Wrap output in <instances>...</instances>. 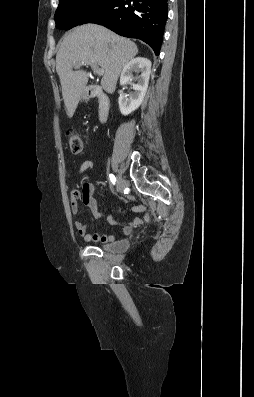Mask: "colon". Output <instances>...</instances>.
I'll list each match as a JSON object with an SVG mask.
<instances>
[{"label":"colon","instance_id":"5ec220e1","mask_svg":"<svg viewBox=\"0 0 254 397\" xmlns=\"http://www.w3.org/2000/svg\"><path fill=\"white\" fill-rule=\"evenodd\" d=\"M67 136H68L69 147H70V150L72 151V153H74V154L81 153L83 150V141H82L81 137L73 132H68ZM76 195H78V197H80L81 199L85 198L86 193H85L84 187Z\"/></svg>","mask_w":254,"mask_h":397}]
</instances>
